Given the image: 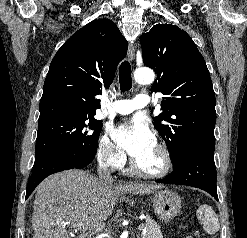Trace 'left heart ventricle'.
Masks as SVG:
<instances>
[{
  "mask_svg": "<svg viewBox=\"0 0 247 238\" xmlns=\"http://www.w3.org/2000/svg\"><path fill=\"white\" fill-rule=\"evenodd\" d=\"M135 161L141 169L150 172L158 171L162 165L161 155L155 145L136 158Z\"/></svg>",
  "mask_w": 247,
  "mask_h": 238,
  "instance_id": "left-heart-ventricle-1",
  "label": "left heart ventricle"
}]
</instances>
